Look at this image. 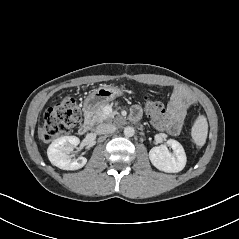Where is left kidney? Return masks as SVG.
Instances as JSON below:
<instances>
[{"label": "left kidney", "instance_id": "left-kidney-1", "mask_svg": "<svg viewBox=\"0 0 239 239\" xmlns=\"http://www.w3.org/2000/svg\"><path fill=\"white\" fill-rule=\"evenodd\" d=\"M170 146L173 153L168 150ZM151 163L159 170L168 173H177L186 165V154L182 145L173 139H169L166 145L153 147L149 152Z\"/></svg>", "mask_w": 239, "mask_h": 239}]
</instances>
